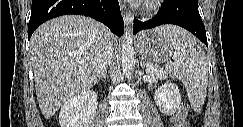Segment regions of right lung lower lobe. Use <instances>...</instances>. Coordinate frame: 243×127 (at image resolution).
Wrapping results in <instances>:
<instances>
[{
    "instance_id": "right-lung-lower-lobe-1",
    "label": "right lung lower lobe",
    "mask_w": 243,
    "mask_h": 127,
    "mask_svg": "<svg viewBox=\"0 0 243 127\" xmlns=\"http://www.w3.org/2000/svg\"><path fill=\"white\" fill-rule=\"evenodd\" d=\"M67 14L94 18L105 24L117 36L124 32L118 0H32L28 24L29 39L35 29L45 21Z\"/></svg>"
}]
</instances>
